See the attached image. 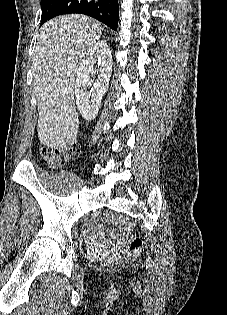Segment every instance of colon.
Returning <instances> with one entry per match:
<instances>
[{"instance_id": "1", "label": "colon", "mask_w": 227, "mask_h": 315, "mask_svg": "<svg viewBox=\"0 0 227 315\" xmlns=\"http://www.w3.org/2000/svg\"><path fill=\"white\" fill-rule=\"evenodd\" d=\"M78 150V146L72 143L63 148H50L43 147L41 150L42 156L50 162L52 166H56L60 163L65 162L69 158L73 157ZM116 222L122 228L128 238L127 255L129 257H136L142 246L140 238L135 237L133 223L125 217H116Z\"/></svg>"}]
</instances>
